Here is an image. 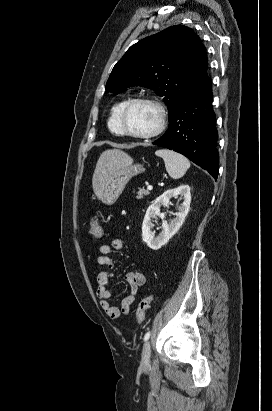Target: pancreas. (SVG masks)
I'll return each mask as SVG.
<instances>
[{"label":"pancreas","instance_id":"cf45deb5","mask_svg":"<svg viewBox=\"0 0 272 411\" xmlns=\"http://www.w3.org/2000/svg\"><path fill=\"white\" fill-rule=\"evenodd\" d=\"M136 194H137V199H142L144 196L149 195V191L146 190V189H144V188H140V189L137 191Z\"/></svg>","mask_w":272,"mask_h":411}]
</instances>
